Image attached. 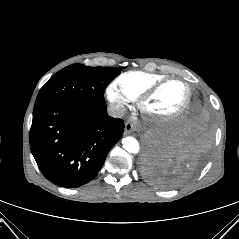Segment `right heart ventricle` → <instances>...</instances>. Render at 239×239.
Listing matches in <instances>:
<instances>
[{
  "mask_svg": "<svg viewBox=\"0 0 239 239\" xmlns=\"http://www.w3.org/2000/svg\"><path fill=\"white\" fill-rule=\"evenodd\" d=\"M168 76L159 73L129 71L121 74L116 84L133 100L139 99L150 87L166 79Z\"/></svg>",
  "mask_w": 239,
  "mask_h": 239,
  "instance_id": "1",
  "label": "right heart ventricle"
}]
</instances>
